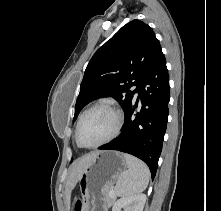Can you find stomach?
<instances>
[{
	"instance_id": "obj_1",
	"label": "stomach",
	"mask_w": 221,
	"mask_h": 211,
	"mask_svg": "<svg viewBox=\"0 0 221 211\" xmlns=\"http://www.w3.org/2000/svg\"><path fill=\"white\" fill-rule=\"evenodd\" d=\"M124 155L117 151H101L83 170L79 186L83 200L82 211H94L103 206L106 192L126 171ZM106 205V203L104 202Z\"/></svg>"
}]
</instances>
